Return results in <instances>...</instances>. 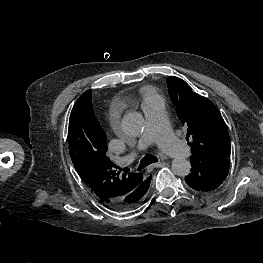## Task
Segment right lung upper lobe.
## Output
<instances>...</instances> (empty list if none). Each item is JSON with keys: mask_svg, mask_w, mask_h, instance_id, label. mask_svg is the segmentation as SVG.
I'll list each match as a JSON object with an SVG mask.
<instances>
[{"mask_svg": "<svg viewBox=\"0 0 263 263\" xmlns=\"http://www.w3.org/2000/svg\"><path fill=\"white\" fill-rule=\"evenodd\" d=\"M68 144L77 173L103 204L128 210L139 203L149 177L116 173L107 154L106 134L93 112L90 90L79 97L71 111Z\"/></svg>", "mask_w": 263, "mask_h": 263, "instance_id": "right-lung-upper-lobe-1", "label": "right lung upper lobe"}]
</instances>
